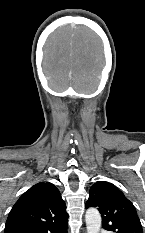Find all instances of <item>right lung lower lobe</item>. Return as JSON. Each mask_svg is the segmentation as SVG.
I'll return each mask as SVG.
<instances>
[{
  "label": "right lung lower lobe",
  "instance_id": "1",
  "mask_svg": "<svg viewBox=\"0 0 145 233\" xmlns=\"http://www.w3.org/2000/svg\"><path fill=\"white\" fill-rule=\"evenodd\" d=\"M62 233H67V228L65 230H63Z\"/></svg>",
  "mask_w": 145,
  "mask_h": 233
}]
</instances>
